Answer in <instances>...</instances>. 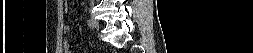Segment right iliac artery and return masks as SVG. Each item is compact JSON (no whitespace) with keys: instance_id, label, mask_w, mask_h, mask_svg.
<instances>
[{"instance_id":"1","label":"right iliac artery","mask_w":253,"mask_h":53,"mask_svg":"<svg viewBox=\"0 0 253 53\" xmlns=\"http://www.w3.org/2000/svg\"><path fill=\"white\" fill-rule=\"evenodd\" d=\"M87 24H88V26H89L90 28H93V27H94V23H93V21H92L91 19L87 21Z\"/></svg>"}]
</instances>
